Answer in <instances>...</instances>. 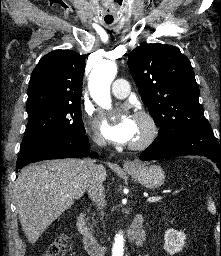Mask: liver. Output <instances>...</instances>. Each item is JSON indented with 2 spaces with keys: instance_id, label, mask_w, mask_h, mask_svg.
Listing matches in <instances>:
<instances>
[{
  "instance_id": "obj_1",
  "label": "liver",
  "mask_w": 221,
  "mask_h": 256,
  "mask_svg": "<svg viewBox=\"0 0 221 256\" xmlns=\"http://www.w3.org/2000/svg\"><path fill=\"white\" fill-rule=\"evenodd\" d=\"M89 163V160L60 159L21 169L15 182L14 198L20 223L31 244L84 195ZM105 179L104 169L103 181Z\"/></svg>"
}]
</instances>
